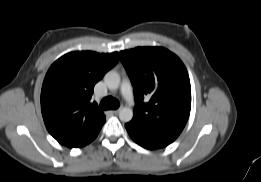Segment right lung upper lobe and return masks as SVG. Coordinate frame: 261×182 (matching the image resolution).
Wrapping results in <instances>:
<instances>
[{"instance_id":"right-lung-upper-lobe-1","label":"right lung upper lobe","mask_w":261,"mask_h":182,"mask_svg":"<svg viewBox=\"0 0 261 182\" xmlns=\"http://www.w3.org/2000/svg\"><path fill=\"white\" fill-rule=\"evenodd\" d=\"M117 52L75 51L49 68L41 90V111L48 132L69 148L90 143L105 123V115L91 103L94 85L114 67Z\"/></svg>"}]
</instances>
